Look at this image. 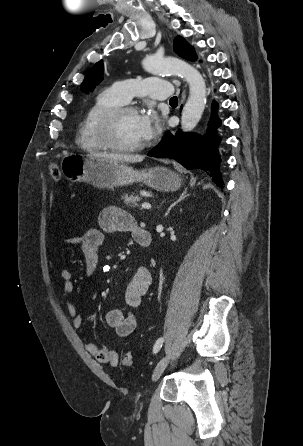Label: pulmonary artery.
Wrapping results in <instances>:
<instances>
[{
    "mask_svg": "<svg viewBox=\"0 0 303 446\" xmlns=\"http://www.w3.org/2000/svg\"><path fill=\"white\" fill-rule=\"evenodd\" d=\"M113 89L124 102L130 101L134 96L147 95L153 99L165 100L172 95L171 84L155 77L118 81Z\"/></svg>",
    "mask_w": 303,
    "mask_h": 446,
    "instance_id": "pulmonary-artery-1",
    "label": "pulmonary artery"
}]
</instances>
